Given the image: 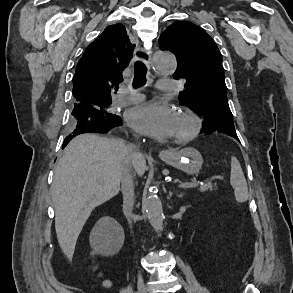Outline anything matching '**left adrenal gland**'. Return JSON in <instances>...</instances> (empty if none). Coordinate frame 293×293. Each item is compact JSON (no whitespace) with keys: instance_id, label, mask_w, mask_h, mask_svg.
Listing matches in <instances>:
<instances>
[{"instance_id":"1","label":"left adrenal gland","mask_w":293,"mask_h":293,"mask_svg":"<svg viewBox=\"0 0 293 293\" xmlns=\"http://www.w3.org/2000/svg\"><path fill=\"white\" fill-rule=\"evenodd\" d=\"M179 198H181V197H183V194H179V195H177Z\"/></svg>"}]
</instances>
